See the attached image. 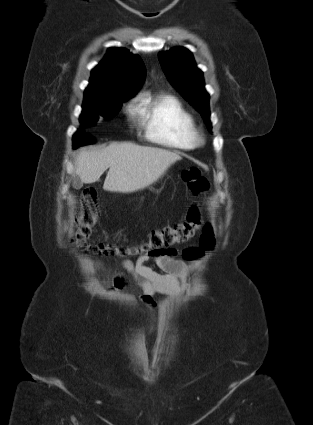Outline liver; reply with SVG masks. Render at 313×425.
Returning <instances> with one entry per match:
<instances>
[{"label":"liver","instance_id":"1","mask_svg":"<svg viewBox=\"0 0 313 425\" xmlns=\"http://www.w3.org/2000/svg\"><path fill=\"white\" fill-rule=\"evenodd\" d=\"M179 160V154L165 149L112 143L107 147L82 149L75 161V172L83 183L91 184L109 168L103 189L131 193L153 184Z\"/></svg>","mask_w":313,"mask_h":425}]
</instances>
